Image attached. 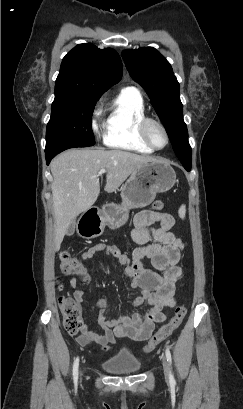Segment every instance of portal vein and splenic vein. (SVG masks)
Returning <instances> with one entry per match:
<instances>
[{
	"instance_id": "portal-vein-and-splenic-vein-1",
	"label": "portal vein and splenic vein",
	"mask_w": 243,
	"mask_h": 409,
	"mask_svg": "<svg viewBox=\"0 0 243 409\" xmlns=\"http://www.w3.org/2000/svg\"><path fill=\"white\" fill-rule=\"evenodd\" d=\"M106 172H107L106 169H101L98 174H99V175H102V174H104V173H106Z\"/></svg>"
}]
</instances>
